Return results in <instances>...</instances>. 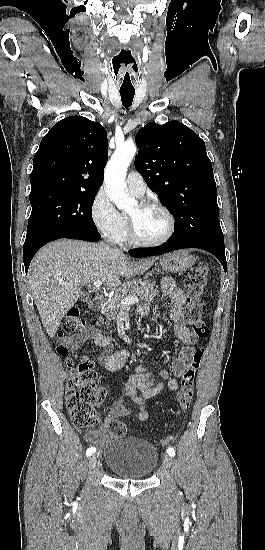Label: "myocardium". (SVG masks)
Returning <instances> with one entry per match:
<instances>
[{"label":"myocardium","mask_w":265,"mask_h":550,"mask_svg":"<svg viewBox=\"0 0 265 550\" xmlns=\"http://www.w3.org/2000/svg\"><path fill=\"white\" fill-rule=\"evenodd\" d=\"M138 206L142 210L154 208L162 211L168 219V229L166 234L159 240H155V241L142 240L137 235L134 220L132 219V217L128 215L127 216L128 235L131 243L138 247H157L168 242L173 236L175 232V226H176L175 217L172 214V212L166 206L156 201H141L138 203Z\"/></svg>","instance_id":"1"}]
</instances>
